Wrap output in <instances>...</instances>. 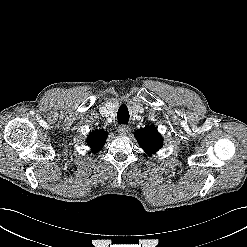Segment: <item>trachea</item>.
I'll return each mask as SVG.
<instances>
[{"mask_svg":"<svg viewBox=\"0 0 247 247\" xmlns=\"http://www.w3.org/2000/svg\"><path fill=\"white\" fill-rule=\"evenodd\" d=\"M117 118L119 124H127L129 121V111L126 105H121L118 112Z\"/></svg>","mask_w":247,"mask_h":247,"instance_id":"obj_1","label":"trachea"}]
</instances>
